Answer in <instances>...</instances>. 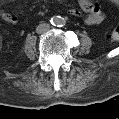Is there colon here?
<instances>
[{
  "mask_svg": "<svg viewBox=\"0 0 119 119\" xmlns=\"http://www.w3.org/2000/svg\"><path fill=\"white\" fill-rule=\"evenodd\" d=\"M110 39L112 41H118L119 40V28L116 27L110 32Z\"/></svg>",
  "mask_w": 119,
  "mask_h": 119,
  "instance_id": "obj_1",
  "label": "colon"
}]
</instances>
